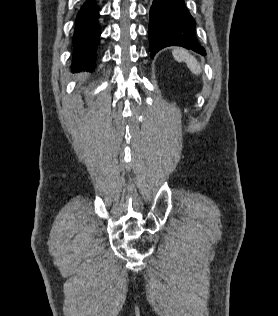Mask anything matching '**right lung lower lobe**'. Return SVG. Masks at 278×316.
Returning a JSON list of instances; mask_svg holds the SVG:
<instances>
[{
    "label": "right lung lower lobe",
    "instance_id": "1",
    "mask_svg": "<svg viewBox=\"0 0 278 316\" xmlns=\"http://www.w3.org/2000/svg\"><path fill=\"white\" fill-rule=\"evenodd\" d=\"M99 8L88 0L77 15L73 36V71H92L95 66V51L99 45Z\"/></svg>",
    "mask_w": 278,
    "mask_h": 316
}]
</instances>
